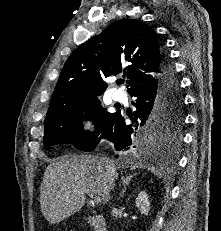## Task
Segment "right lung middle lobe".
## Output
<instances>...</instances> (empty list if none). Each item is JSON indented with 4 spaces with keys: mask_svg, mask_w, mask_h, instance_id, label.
Returning <instances> with one entry per match:
<instances>
[{
    "mask_svg": "<svg viewBox=\"0 0 221 231\" xmlns=\"http://www.w3.org/2000/svg\"><path fill=\"white\" fill-rule=\"evenodd\" d=\"M83 112L86 113L83 114ZM114 114L102 109L97 97L72 99L58 108L52 115L46 117L44 143L47 146L73 143L75 147H79L95 134L84 131L81 127V121L84 119L93 120L97 133H101ZM182 123V103L179 100L161 95L143 130L149 139L165 145L179 140Z\"/></svg>",
    "mask_w": 221,
    "mask_h": 231,
    "instance_id": "right-lung-middle-lobe-1",
    "label": "right lung middle lobe"
}]
</instances>
